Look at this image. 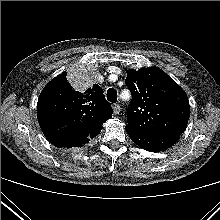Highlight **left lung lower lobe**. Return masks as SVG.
Listing matches in <instances>:
<instances>
[{
  "label": "left lung lower lobe",
  "mask_w": 220,
  "mask_h": 220,
  "mask_svg": "<svg viewBox=\"0 0 220 220\" xmlns=\"http://www.w3.org/2000/svg\"><path fill=\"white\" fill-rule=\"evenodd\" d=\"M126 131L134 143L151 152L165 150L171 147L180 138V136L177 135H156L139 132L128 126H126Z\"/></svg>",
  "instance_id": "obj_1"
}]
</instances>
